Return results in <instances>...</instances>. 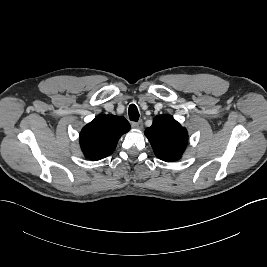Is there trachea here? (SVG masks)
I'll use <instances>...</instances> for the list:
<instances>
[{"label": "trachea", "instance_id": "obj_1", "mask_svg": "<svg viewBox=\"0 0 267 267\" xmlns=\"http://www.w3.org/2000/svg\"><path fill=\"white\" fill-rule=\"evenodd\" d=\"M129 119L135 122L139 120V111L134 104L129 106Z\"/></svg>", "mask_w": 267, "mask_h": 267}]
</instances>
